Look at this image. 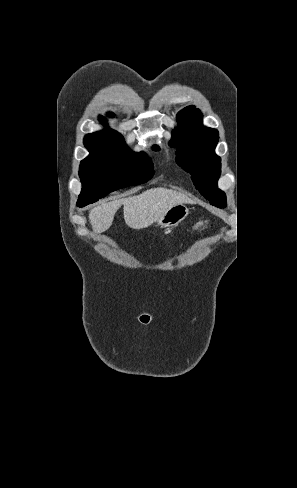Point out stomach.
<instances>
[{
	"label": "stomach",
	"instance_id": "stomach-1",
	"mask_svg": "<svg viewBox=\"0 0 297 488\" xmlns=\"http://www.w3.org/2000/svg\"><path fill=\"white\" fill-rule=\"evenodd\" d=\"M189 214V209L185 204H176L169 208L157 221L161 228H168L178 225Z\"/></svg>",
	"mask_w": 297,
	"mask_h": 488
}]
</instances>
